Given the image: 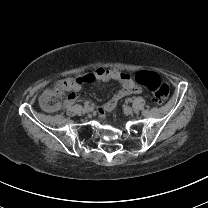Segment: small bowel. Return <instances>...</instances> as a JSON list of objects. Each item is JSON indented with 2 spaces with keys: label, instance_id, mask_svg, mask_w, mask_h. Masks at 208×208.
Here are the masks:
<instances>
[{
  "label": "small bowel",
  "instance_id": "obj_1",
  "mask_svg": "<svg viewBox=\"0 0 208 208\" xmlns=\"http://www.w3.org/2000/svg\"><path fill=\"white\" fill-rule=\"evenodd\" d=\"M67 79L71 82L73 89L71 95L65 101L66 106H70L75 102L77 98L76 91L84 84L92 83L95 80H107V79L116 80L122 84L121 89L118 90L110 100H108L102 105L101 107L102 109L97 108L95 110V113L97 115H100L102 113V110L104 111L113 110L123 98H125L128 95L136 94L140 92L139 87L133 83L129 74L109 70L101 66L97 67L91 73H87L82 76H78L75 78H67Z\"/></svg>",
  "mask_w": 208,
  "mask_h": 208
}]
</instances>
